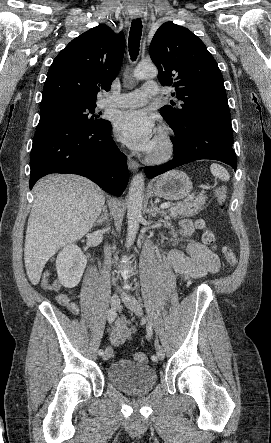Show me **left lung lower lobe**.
Returning <instances> with one entry per match:
<instances>
[{
    "label": "left lung lower lobe",
    "mask_w": 271,
    "mask_h": 443,
    "mask_svg": "<svg viewBox=\"0 0 271 443\" xmlns=\"http://www.w3.org/2000/svg\"><path fill=\"white\" fill-rule=\"evenodd\" d=\"M172 129L175 133V138H171L174 157L163 165L145 167L148 178L200 159L219 160L236 169L230 116L202 110L189 122Z\"/></svg>",
    "instance_id": "left-lung-lower-lobe-1"
}]
</instances>
